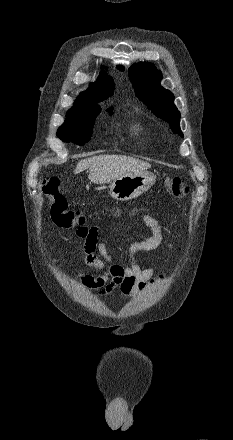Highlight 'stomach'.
Masks as SVG:
<instances>
[{
    "mask_svg": "<svg viewBox=\"0 0 233 440\" xmlns=\"http://www.w3.org/2000/svg\"><path fill=\"white\" fill-rule=\"evenodd\" d=\"M155 175L144 171L118 178L110 185V195L117 201H127L140 196L155 183Z\"/></svg>",
    "mask_w": 233,
    "mask_h": 440,
    "instance_id": "1",
    "label": "stomach"
}]
</instances>
